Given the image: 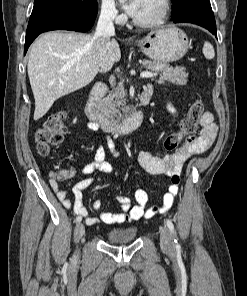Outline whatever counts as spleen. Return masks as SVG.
<instances>
[{"instance_id":"3e777b00","label":"spleen","mask_w":247,"mask_h":296,"mask_svg":"<svg viewBox=\"0 0 247 296\" xmlns=\"http://www.w3.org/2000/svg\"><path fill=\"white\" fill-rule=\"evenodd\" d=\"M203 54L207 59L214 58V56H215L214 48L209 42L204 43Z\"/></svg>"}]
</instances>
